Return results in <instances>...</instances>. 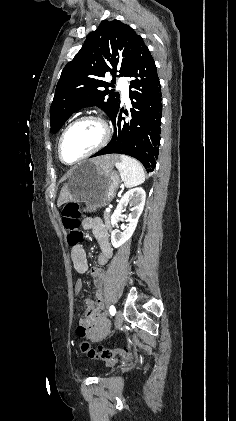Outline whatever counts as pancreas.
<instances>
[{"mask_svg": "<svg viewBox=\"0 0 236 421\" xmlns=\"http://www.w3.org/2000/svg\"><path fill=\"white\" fill-rule=\"evenodd\" d=\"M105 225L110 227V213H104Z\"/></svg>", "mask_w": 236, "mask_h": 421, "instance_id": "1", "label": "pancreas"}]
</instances>
